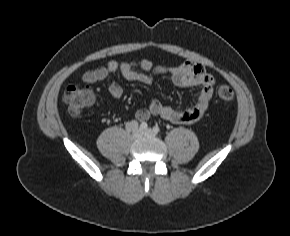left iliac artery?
<instances>
[{"mask_svg":"<svg viewBox=\"0 0 290 236\" xmlns=\"http://www.w3.org/2000/svg\"><path fill=\"white\" fill-rule=\"evenodd\" d=\"M153 131L155 133H158L160 131V128L156 125V126L153 127Z\"/></svg>","mask_w":290,"mask_h":236,"instance_id":"44dca946","label":"left iliac artery"}]
</instances>
